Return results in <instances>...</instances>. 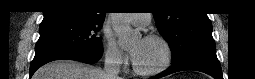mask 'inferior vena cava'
Segmentation results:
<instances>
[{"instance_id":"602c4592","label":"inferior vena cava","mask_w":255,"mask_h":79,"mask_svg":"<svg viewBox=\"0 0 255 79\" xmlns=\"http://www.w3.org/2000/svg\"><path fill=\"white\" fill-rule=\"evenodd\" d=\"M120 59L117 54L109 53L105 56L104 74L106 79H118Z\"/></svg>"}]
</instances>
